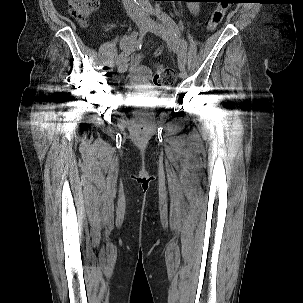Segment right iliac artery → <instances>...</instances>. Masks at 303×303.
Instances as JSON below:
<instances>
[{
	"label": "right iliac artery",
	"mask_w": 303,
	"mask_h": 303,
	"mask_svg": "<svg viewBox=\"0 0 303 303\" xmlns=\"http://www.w3.org/2000/svg\"><path fill=\"white\" fill-rule=\"evenodd\" d=\"M143 43V37H140L136 41H134L130 46L126 47L121 54L118 56L116 64L119 65L126 61L127 57L134 52L135 50L141 48Z\"/></svg>",
	"instance_id": "82829eb1"
}]
</instances>
